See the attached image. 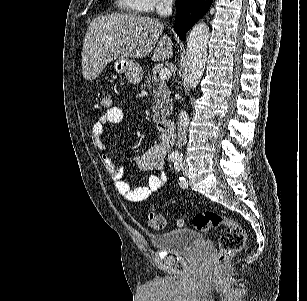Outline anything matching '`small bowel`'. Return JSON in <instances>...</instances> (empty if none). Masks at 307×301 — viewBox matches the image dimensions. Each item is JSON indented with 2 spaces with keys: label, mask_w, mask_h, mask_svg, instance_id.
Segmentation results:
<instances>
[{
  "label": "small bowel",
  "mask_w": 307,
  "mask_h": 301,
  "mask_svg": "<svg viewBox=\"0 0 307 301\" xmlns=\"http://www.w3.org/2000/svg\"><path fill=\"white\" fill-rule=\"evenodd\" d=\"M124 111L120 107H111L106 111L99 120L93 124L91 129V138L100 150L105 149L103 142L104 128L107 125H116L122 122ZM170 142L163 137L156 145L151 147L145 153L135 158L139 169L144 171H154L146 186L131 188L129 184L123 180V170L116 164L112 158L106 154H101V161L112 177L116 190L127 200L131 202H141L150 197L152 193H158L163 190L167 176L163 170L164 157L169 150Z\"/></svg>",
  "instance_id": "1"
}]
</instances>
